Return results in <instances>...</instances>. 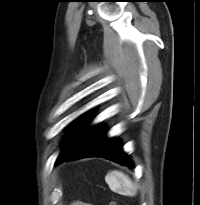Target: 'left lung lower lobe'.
<instances>
[{
	"label": "left lung lower lobe",
	"instance_id": "obj_1",
	"mask_svg": "<svg viewBox=\"0 0 200 205\" xmlns=\"http://www.w3.org/2000/svg\"><path fill=\"white\" fill-rule=\"evenodd\" d=\"M86 157H104L121 165L133 167L129 157L122 151L120 141L107 139L105 134L95 126L82 142L63 160H74ZM59 165V164H58Z\"/></svg>",
	"mask_w": 200,
	"mask_h": 205
}]
</instances>
